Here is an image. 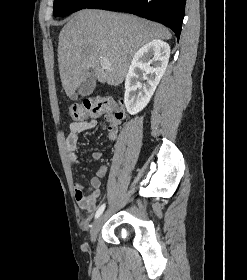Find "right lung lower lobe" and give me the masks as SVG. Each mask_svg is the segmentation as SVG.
I'll return each mask as SVG.
<instances>
[{
  "label": "right lung lower lobe",
  "mask_w": 247,
  "mask_h": 280,
  "mask_svg": "<svg viewBox=\"0 0 247 280\" xmlns=\"http://www.w3.org/2000/svg\"><path fill=\"white\" fill-rule=\"evenodd\" d=\"M186 0H97L88 8L117 10L160 22L179 39Z\"/></svg>",
  "instance_id": "1"
}]
</instances>
